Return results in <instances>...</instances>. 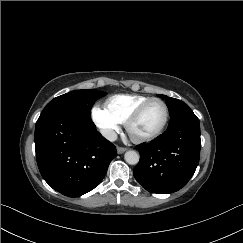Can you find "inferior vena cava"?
<instances>
[{
	"mask_svg": "<svg viewBox=\"0 0 243 243\" xmlns=\"http://www.w3.org/2000/svg\"><path fill=\"white\" fill-rule=\"evenodd\" d=\"M101 134L109 141H115L117 139L116 132L110 129L101 130Z\"/></svg>",
	"mask_w": 243,
	"mask_h": 243,
	"instance_id": "602c4592",
	"label": "inferior vena cava"
}]
</instances>
